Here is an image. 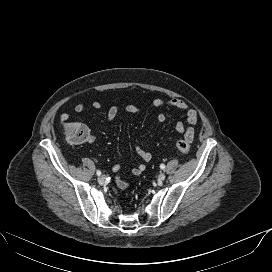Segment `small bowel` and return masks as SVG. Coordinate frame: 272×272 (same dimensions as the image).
Here are the masks:
<instances>
[{"mask_svg":"<svg viewBox=\"0 0 272 272\" xmlns=\"http://www.w3.org/2000/svg\"><path fill=\"white\" fill-rule=\"evenodd\" d=\"M153 106L155 108H162L164 106L173 107L179 110L184 111L186 115V122L187 125L183 122H177L175 125V129L179 134H182L187 136L190 134L191 136V142H193L195 137V132L193 126L198 122V113L195 109L189 107L186 103L179 99H170L168 101H165L161 98H156L153 101ZM92 107L95 109L102 108V103L100 101H94L92 103ZM85 110V106L82 103H78L74 106V111L76 113H82ZM138 107L132 104L124 105V106H112L109 108L107 112V120L109 122L113 121L120 113L125 112L129 114H134L138 112ZM70 118V115L68 113H63L60 116V119L62 122H66ZM166 119L164 114H158L157 115V121L158 122H164ZM95 141V136L90 135V138L88 140L89 143H93ZM135 153L144 161L149 162L151 160V153L144 149L139 142H135L134 145ZM121 169V165L119 163H116L112 167L113 172H118ZM145 170V164L140 163L136 167L131 169V174L134 176H139L142 174V172ZM116 187L118 189H126L128 187V182L120 177H117L115 180Z\"/></svg>","mask_w":272,"mask_h":272,"instance_id":"obj_1","label":"small bowel"}]
</instances>
